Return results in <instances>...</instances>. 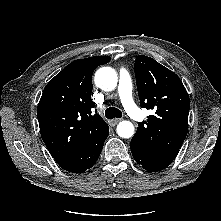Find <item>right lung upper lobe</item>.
I'll list each match as a JSON object with an SVG mask.
<instances>
[{
  "label": "right lung upper lobe",
  "mask_w": 221,
  "mask_h": 221,
  "mask_svg": "<svg viewBox=\"0 0 221 221\" xmlns=\"http://www.w3.org/2000/svg\"><path fill=\"white\" fill-rule=\"evenodd\" d=\"M109 56L78 59L67 65L45 86L37 108L42 139L57 163L84 146L107 126L91 114L92 74Z\"/></svg>",
  "instance_id": "cb5924a9"
}]
</instances>
